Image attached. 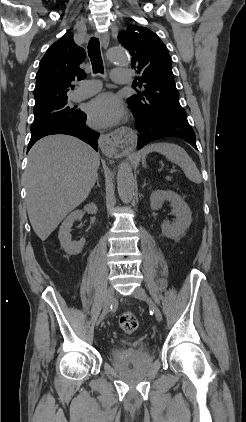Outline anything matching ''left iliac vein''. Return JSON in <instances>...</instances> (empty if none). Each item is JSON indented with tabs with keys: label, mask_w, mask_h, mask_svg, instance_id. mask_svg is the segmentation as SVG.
Here are the masks:
<instances>
[{
	"label": "left iliac vein",
	"mask_w": 246,
	"mask_h": 422,
	"mask_svg": "<svg viewBox=\"0 0 246 422\" xmlns=\"http://www.w3.org/2000/svg\"><path fill=\"white\" fill-rule=\"evenodd\" d=\"M133 296L137 299L140 300H146L150 303V305L152 306L153 310H154V314H155V318L157 321H162L163 316L162 313L160 311V309L158 308V306L147 296L146 291L142 288V287H137L134 292H133Z\"/></svg>",
	"instance_id": "left-iliac-vein-1"
}]
</instances>
